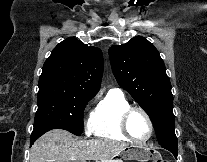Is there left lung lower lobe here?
<instances>
[{
  "label": "left lung lower lobe",
  "mask_w": 207,
  "mask_h": 162,
  "mask_svg": "<svg viewBox=\"0 0 207 162\" xmlns=\"http://www.w3.org/2000/svg\"><path fill=\"white\" fill-rule=\"evenodd\" d=\"M162 147L169 150L177 159V139H171L161 143Z\"/></svg>",
  "instance_id": "1"
}]
</instances>
